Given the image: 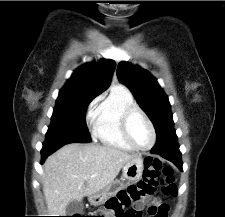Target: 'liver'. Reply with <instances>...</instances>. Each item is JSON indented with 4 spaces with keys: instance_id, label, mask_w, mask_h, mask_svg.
Here are the masks:
<instances>
[{
    "instance_id": "6515ba94",
    "label": "liver",
    "mask_w": 225,
    "mask_h": 217,
    "mask_svg": "<svg viewBox=\"0 0 225 217\" xmlns=\"http://www.w3.org/2000/svg\"><path fill=\"white\" fill-rule=\"evenodd\" d=\"M135 157L110 146L71 143L62 147L43 165V192L49 214L66 216L70 201L90 197L111 184Z\"/></svg>"
}]
</instances>
